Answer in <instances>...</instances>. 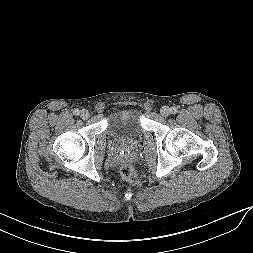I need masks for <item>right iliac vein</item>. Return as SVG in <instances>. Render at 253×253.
<instances>
[{"instance_id": "right-iliac-vein-1", "label": "right iliac vein", "mask_w": 253, "mask_h": 253, "mask_svg": "<svg viewBox=\"0 0 253 253\" xmlns=\"http://www.w3.org/2000/svg\"><path fill=\"white\" fill-rule=\"evenodd\" d=\"M80 117L83 120H87L89 118V112L87 110H85V109L81 110Z\"/></svg>"}]
</instances>
